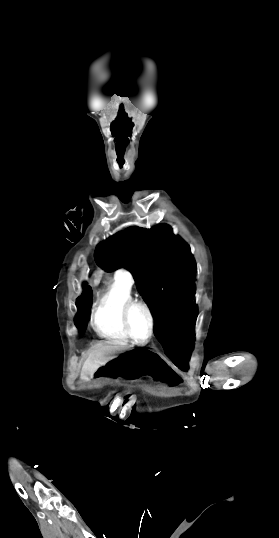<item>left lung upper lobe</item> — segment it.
<instances>
[{"label":"left lung upper lobe","mask_w":279,"mask_h":538,"mask_svg":"<svg viewBox=\"0 0 279 538\" xmlns=\"http://www.w3.org/2000/svg\"><path fill=\"white\" fill-rule=\"evenodd\" d=\"M95 261L104 270L128 269L155 318L154 332H192L197 317L193 304L196 264L190 248L167 224L137 226L98 244Z\"/></svg>","instance_id":"5c2ea615"}]
</instances>
